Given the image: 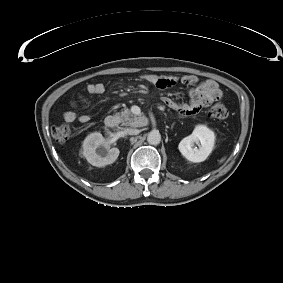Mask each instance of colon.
Returning <instances> with one entry per match:
<instances>
[{
    "instance_id": "colon-1",
    "label": "colon",
    "mask_w": 283,
    "mask_h": 283,
    "mask_svg": "<svg viewBox=\"0 0 283 283\" xmlns=\"http://www.w3.org/2000/svg\"><path fill=\"white\" fill-rule=\"evenodd\" d=\"M209 115L214 120H223L228 116V110L222 104H215L210 108ZM72 135L73 129L68 124H61L52 129V136L59 143L68 141Z\"/></svg>"
}]
</instances>
